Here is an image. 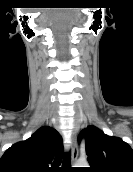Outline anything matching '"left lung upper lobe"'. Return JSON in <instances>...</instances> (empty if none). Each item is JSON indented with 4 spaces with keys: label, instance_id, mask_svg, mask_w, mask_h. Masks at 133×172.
<instances>
[{
    "label": "left lung upper lobe",
    "instance_id": "left-lung-upper-lobe-1",
    "mask_svg": "<svg viewBox=\"0 0 133 172\" xmlns=\"http://www.w3.org/2000/svg\"><path fill=\"white\" fill-rule=\"evenodd\" d=\"M85 138L89 168L87 172H133V150L118 137L89 126L79 135Z\"/></svg>",
    "mask_w": 133,
    "mask_h": 172
}]
</instances>
